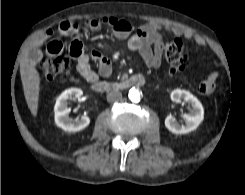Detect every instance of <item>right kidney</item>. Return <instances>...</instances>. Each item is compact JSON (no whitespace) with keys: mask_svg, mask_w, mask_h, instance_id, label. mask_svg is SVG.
Here are the masks:
<instances>
[{"mask_svg":"<svg viewBox=\"0 0 245 195\" xmlns=\"http://www.w3.org/2000/svg\"><path fill=\"white\" fill-rule=\"evenodd\" d=\"M83 92L78 88L65 90L56 100L54 106L55 123L58 127L68 132H77L86 128L90 123V118L86 115L80 119L69 118L70 109L67 107L68 101L79 99Z\"/></svg>","mask_w":245,"mask_h":195,"instance_id":"right-kidney-1","label":"right kidney"}]
</instances>
